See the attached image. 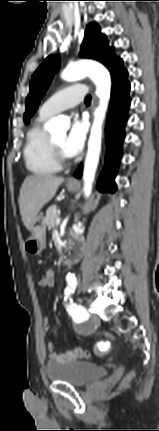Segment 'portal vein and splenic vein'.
Returning <instances> with one entry per match:
<instances>
[{"mask_svg":"<svg viewBox=\"0 0 159 431\" xmlns=\"http://www.w3.org/2000/svg\"><path fill=\"white\" fill-rule=\"evenodd\" d=\"M60 221H61V220H60V218H57V219H56V224H57V225H58V224H60Z\"/></svg>","mask_w":159,"mask_h":431,"instance_id":"portal-vein-and-splenic-vein-1","label":"portal vein and splenic vein"}]
</instances>
